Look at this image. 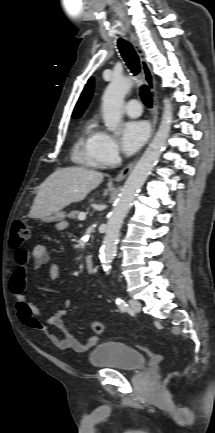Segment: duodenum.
<instances>
[{"instance_id": "obj_1", "label": "duodenum", "mask_w": 215, "mask_h": 433, "mask_svg": "<svg viewBox=\"0 0 215 433\" xmlns=\"http://www.w3.org/2000/svg\"><path fill=\"white\" fill-rule=\"evenodd\" d=\"M84 265H85L86 270L89 273H93L94 272V270H95L94 260H93V258L90 255H86L85 256V258H84Z\"/></svg>"}]
</instances>
